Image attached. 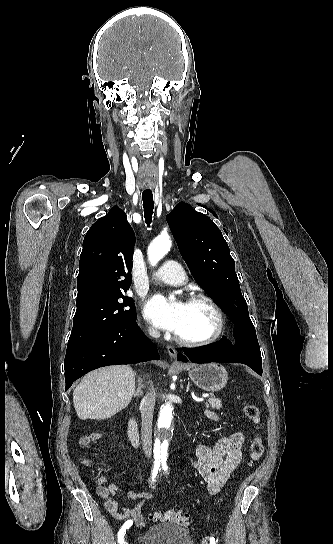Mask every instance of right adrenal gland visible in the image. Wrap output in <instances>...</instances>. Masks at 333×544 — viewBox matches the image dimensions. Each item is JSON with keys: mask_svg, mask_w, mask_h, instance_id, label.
<instances>
[{"mask_svg": "<svg viewBox=\"0 0 333 544\" xmlns=\"http://www.w3.org/2000/svg\"><path fill=\"white\" fill-rule=\"evenodd\" d=\"M142 382H143L142 379L138 377L139 386L137 390L134 392V397H139L143 394L142 388L144 387V385L142 384Z\"/></svg>", "mask_w": 333, "mask_h": 544, "instance_id": "obj_1", "label": "right adrenal gland"}]
</instances>
